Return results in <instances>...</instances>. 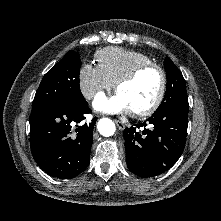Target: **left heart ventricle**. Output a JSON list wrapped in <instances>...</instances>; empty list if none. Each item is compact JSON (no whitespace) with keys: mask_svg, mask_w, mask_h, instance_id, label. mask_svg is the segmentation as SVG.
Instances as JSON below:
<instances>
[{"mask_svg":"<svg viewBox=\"0 0 221 221\" xmlns=\"http://www.w3.org/2000/svg\"><path fill=\"white\" fill-rule=\"evenodd\" d=\"M161 86V77L157 70L150 69L139 75L134 81L123 85L118 93L124 98L131 111L142 110L156 99Z\"/></svg>","mask_w":221,"mask_h":221,"instance_id":"1","label":"left heart ventricle"}]
</instances>
